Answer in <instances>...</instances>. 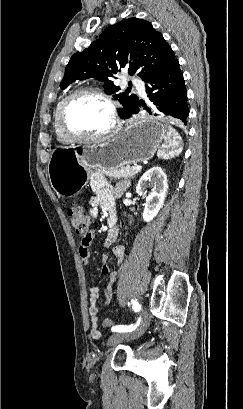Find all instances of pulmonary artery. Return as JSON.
Masks as SVG:
<instances>
[{
  "instance_id": "e3ab8cb5",
  "label": "pulmonary artery",
  "mask_w": 243,
  "mask_h": 409,
  "mask_svg": "<svg viewBox=\"0 0 243 409\" xmlns=\"http://www.w3.org/2000/svg\"><path fill=\"white\" fill-rule=\"evenodd\" d=\"M132 83H133L134 86H136L139 94L144 96L145 95V88H144L143 83L139 79H136V78L132 79Z\"/></svg>"
}]
</instances>
